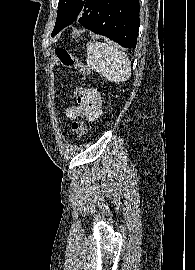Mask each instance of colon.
<instances>
[{"label": "colon", "mask_w": 195, "mask_h": 270, "mask_svg": "<svg viewBox=\"0 0 195 270\" xmlns=\"http://www.w3.org/2000/svg\"><path fill=\"white\" fill-rule=\"evenodd\" d=\"M57 61L64 67H74L82 75H88L89 72L86 66L80 62L76 57H74L69 50L64 47H57L54 50ZM80 91L77 90L75 95L79 96ZM71 131L74 136L81 138L85 135L86 127L83 121L75 120L71 123Z\"/></svg>", "instance_id": "5ec220e1"}]
</instances>
